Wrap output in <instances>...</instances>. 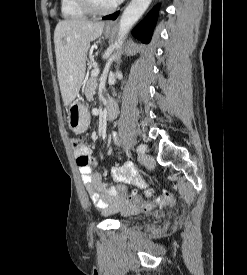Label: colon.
Returning a JSON list of instances; mask_svg holds the SVG:
<instances>
[{"label": "colon", "instance_id": "1", "mask_svg": "<svg viewBox=\"0 0 247 275\" xmlns=\"http://www.w3.org/2000/svg\"><path fill=\"white\" fill-rule=\"evenodd\" d=\"M71 145L76 152L81 151L84 147L82 140L79 138H72ZM81 160L86 161V157L82 156ZM115 190L119 196H121L125 200L129 201L130 203L141 207L143 210H149L154 205L173 206L176 201L175 196L171 192L166 191V190H163L158 195H156L154 197V199L152 200V202H147V203H144L142 201V197L140 194H138L135 191L129 190L127 188V186L117 185L115 187Z\"/></svg>", "mask_w": 247, "mask_h": 275}]
</instances>
